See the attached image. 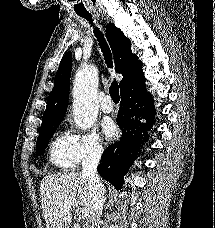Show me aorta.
Listing matches in <instances>:
<instances>
[{
  "mask_svg": "<svg viewBox=\"0 0 215 228\" xmlns=\"http://www.w3.org/2000/svg\"><path fill=\"white\" fill-rule=\"evenodd\" d=\"M97 76L98 70L95 66H86L76 74L73 90V116L81 130L92 128L97 120Z\"/></svg>",
  "mask_w": 215,
  "mask_h": 228,
  "instance_id": "762f6f07",
  "label": "aorta"
}]
</instances>
